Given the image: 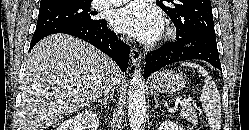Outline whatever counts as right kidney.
Returning <instances> with one entry per match:
<instances>
[{
    "label": "right kidney",
    "instance_id": "right-kidney-1",
    "mask_svg": "<svg viewBox=\"0 0 249 130\" xmlns=\"http://www.w3.org/2000/svg\"><path fill=\"white\" fill-rule=\"evenodd\" d=\"M99 119L95 112L85 110L74 118L64 121L57 130H97Z\"/></svg>",
    "mask_w": 249,
    "mask_h": 130
}]
</instances>
